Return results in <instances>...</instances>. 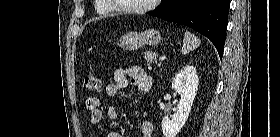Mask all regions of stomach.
<instances>
[{"label": "stomach", "instance_id": "stomach-1", "mask_svg": "<svg viewBox=\"0 0 280 137\" xmlns=\"http://www.w3.org/2000/svg\"><path fill=\"white\" fill-rule=\"evenodd\" d=\"M161 41V34L158 30L148 29L143 32H129L123 35L118 45L125 50H137L144 45L155 46Z\"/></svg>", "mask_w": 280, "mask_h": 137}]
</instances>
